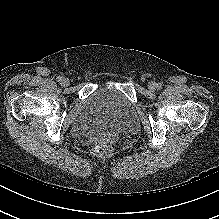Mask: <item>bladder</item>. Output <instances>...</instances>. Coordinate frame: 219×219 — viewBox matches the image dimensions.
<instances>
[{"mask_svg":"<svg viewBox=\"0 0 219 219\" xmlns=\"http://www.w3.org/2000/svg\"><path fill=\"white\" fill-rule=\"evenodd\" d=\"M137 109L115 85L99 84L79 105L71 130L79 138L100 140L131 129Z\"/></svg>","mask_w":219,"mask_h":219,"instance_id":"31cf9c89","label":"bladder"}]
</instances>
